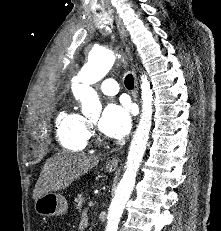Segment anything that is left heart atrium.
<instances>
[{"mask_svg":"<svg viewBox=\"0 0 221 231\" xmlns=\"http://www.w3.org/2000/svg\"><path fill=\"white\" fill-rule=\"evenodd\" d=\"M98 127L103 134L110 138L125 136L131 127L129 106L117 102L108 104L102 113Z\"/></svg>","mask_w":221,"mask_h":231,"instance_id":"left-heart-atrium-1","label":"left heart atrium"}]
</instances>
